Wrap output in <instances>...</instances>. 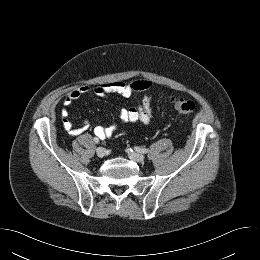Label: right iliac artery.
Returning <instances> with one entry per match:
<instances>
[{
    "label": "right iliac artery",
    "instance_id": "obj_1",
    "mask_svg": "<svg viewBox=\"0 0 260 260\" xmlns=\"http://www.w3.org/2000/svg\"><path fill=\"white\" fill-rule=\"evenodd\" d=\"M94 142H95V143H98V142H99V139H98V138H94Z\"/></svg>",
    "mask_w": 260,
    "mask_h": 260
}]
</instances>
